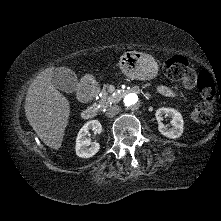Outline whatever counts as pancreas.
<instances>
[{
	"instance_id": "1",
	"label": "pancreas",
	"mask_w": 221,
	"mask_h": 221,
	"mask_svg": "<svg viewBox=\"0 0 221 221\" xmlns=\"http://www.w3.org/2000/svg\"><path fill=\"white\" fill-rule=\"evenodd\" d=\"M102 96L100 97V100L98 101V105L100 109L107 108L112 102L115 101V98L111 95V85H105L101 91Z\"/></svg>"
}]
</instances>
